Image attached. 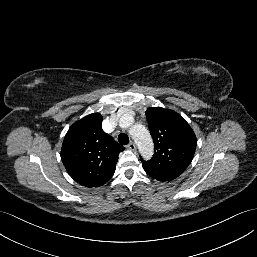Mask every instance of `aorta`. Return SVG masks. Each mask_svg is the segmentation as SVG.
I'll list each match as a JSON object with an SVG mask.
<instances>
[{
  "instance_id": "aorta-1",
  "label": "aorta",
  "mask_w": 257,
  "mask_h": 257,
  "mask_svg": "<svg viewBox=\"0 0 257 257\" xmlns=\"http://www.w3.org/2000/svg\"><path fill=\"white\" fill-rule=\"evenodd\" d=\"M119 124L122 128H130V135L136 142L142 157L150 158L153 155L154 147L149 131L141 124H133V116L130 114L122 115Z\"/></svg>"
}]
</instances>
